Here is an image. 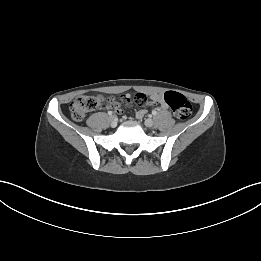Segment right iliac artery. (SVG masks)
<instances>
[{"mask_svg": "<svg viewBox=\"0 0 261 261\" xmlns=\"http://www.w3.org/2000/svg\"><path fill=\"white\" fill-rule=\"evenodd\" d=\"M112 114H113V113H112V111H108V115H110V116H111Z\"/></svg>", "mask_w": 261, "mask_h": 261, "instance_id": "82829eb1", "label": "right iliac artery"}]
</instances>
